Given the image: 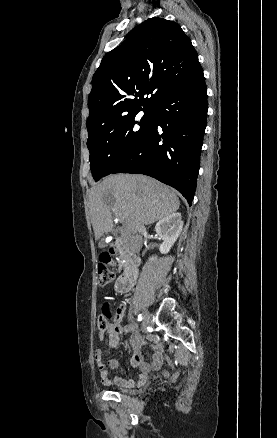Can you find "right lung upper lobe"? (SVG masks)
<instances>
[{
    "label": "right lung upper lobe",
    "mask_w": 277,
    "mask_h": 438,
    "mask_svg": "<svg viewBox=\"0 0 277 438\" xmlns=\"http://www.w3.org/2000/svg\"><path fill=\"white\" fill-rule=\"evenodd\" d=\"M169 64L178 68L170 72L166 68ZM202 71L198 54L179 24L149 18L107 53L94 73L87 128L140 109H152L161 94ZM145 94L152 96L144 98Z\"/></svg>",
    "instance_id": "obj_1"
}]
</instances>
